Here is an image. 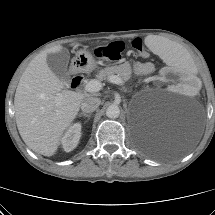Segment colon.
<instances>
[{"instance_id":"obj_1","label":"colon","mask_w":215,"mask_h":215,"mask_svg":"<svg viewBox=\"0 0 215 215\" xmlns=\"http://www.w3.org/2000/svg\"><path fill=\"white\" fill-rule=\"evenodd\" d=\"M132 47L140 55H145V49L142 40L136 38L131 43ZM125 45L121 41H114L106 45L97 46L94 53L99 58L108 59L111 61H117L121 58L122 52L124 51Z\"/></svg>"}]
</instances>
